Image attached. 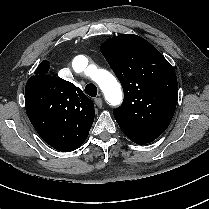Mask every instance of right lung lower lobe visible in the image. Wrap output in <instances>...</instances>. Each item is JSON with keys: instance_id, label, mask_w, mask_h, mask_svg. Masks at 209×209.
<instances>
[{"instance_id": "1", "label": "right lung lower lobe", "mask_w": 209, "mask_h": 209, "mask_svg": "<svg viewBox=\"0 0 209 209\" xmlns=\"http://www.w3.org/2000/svg\"><path fill=\"white\" fill-rule=\"evenodd\" d=\"M43 140L49 144L50 146H52L53 148L59 150V151H63V152H68L65 149H67L69 146L67 143L63 142V141H56L55 140V136L52 134H39Z\"/></svg>"}]
</instances>
